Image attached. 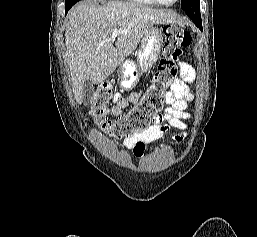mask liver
I'll return each instance as SVG.
<instances>
[{"label":"liver","instance_id":"6515ba94","mask_svg":"<svg viewBox=\"0 0 257 237\" xmlns=\"http://www.w3.org/2000/svg\"><path fill=\"white\" fill-rule=\"evenodd\" d=\"M65 31L66 56L77 103L83 101V84L102 83L137 48L147 30L155 24L177 23L170 11L125 2L103 5L83 2L68 15ZM119 34L114 41L112 30Z\"/></svg>","mask_w":257,"mask_h":237}]
</instances>
